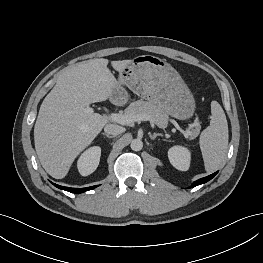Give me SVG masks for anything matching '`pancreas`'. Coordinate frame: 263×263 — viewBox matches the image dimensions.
I'll return each mask as SVG.
<instances>
[{"label": "pancreas", "mask_w": 263, "mask_h": 263, "mask_svg": "<svg viewBox=\"0 0 263 263\" xmlns=\"http://www.w3.org/2000/svg\"><path fill=\"white\" fill-rule=\"evenodd\" d=\"M125 114L131 116L143 114L150 115L154 119L155 124L160 128H165L169 121L168 115L160 107L142 99L131 103L125 109ZM200 129V125L195 123L191 128V137L196 138L200 132Z\"/></svg>", "instance_id": "cf45deb5"}]
</instances>
